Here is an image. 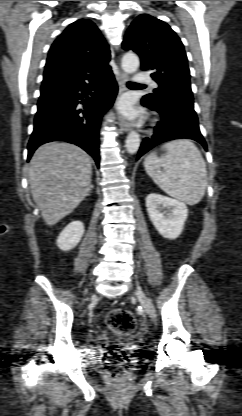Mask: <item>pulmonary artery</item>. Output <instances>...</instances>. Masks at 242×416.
Instances as JSON below:
<instances>
[{
  "mask_svg": "<svg viewBox=\"0 0 242 416\" xmlns=\"http://www.w3.org/2000/svg\"><path fill=\"white\" fill-rule=\"evenodd\" d=\"M134 81H135L136 83H151L152 85H155V84L151 81L150 77H149L147 74H145V73H143V72H141V71H139V72H137V73L135 74V76H134Z\"/></svg>",
  "mask_w": 242,
  "mask_h": 416,
  "instance_id": "pulmonary-artery-1",
  "label": "pulmonary artery"
}]
</instances>
